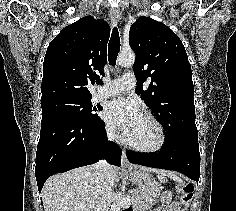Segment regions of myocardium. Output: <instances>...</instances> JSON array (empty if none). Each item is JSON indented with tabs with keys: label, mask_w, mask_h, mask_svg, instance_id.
<instances>
[{
	"label": "myocardium",
	"mask_w": 236,
	"mask_h": 211,
	"mask_svg": "<svg viewBox=\"0 0 236 211\" xmlns=\"http://www.w3.org/2000/svg\"><path fill=\"white\" fill-rule=\"evenodd\" d=\"M142 117L150 121L156 127L158 131L157 143L151 147H144V146L133 144L124 137L123 138L124 145L132 150H135L141 153H156V152L161 151L166 143V133H165V129L163 125L153 115L149 113H143Z\"/></svg>",
	"instance_id": "myocardium-1"
}]
</instances>
